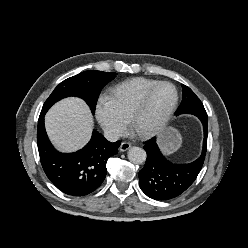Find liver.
<instances>
[{
  "label": "liver",
  "instance_id": "obj_1",
  "mask_svg": "<svg viewBox=\"0 0 248 248\" xmlns=\"http://www.w3.org/2000/svg\"><path fill=\"white\" fill-rule=\"evenodd\" d=\"M45 126L52 143L61 151L71 152L89 141L93 117L82 99L70 97L51 107L45 116Z\"/></svg>",
  "mask_w": 248,
  "mask_h": 248
}]
</instances>
